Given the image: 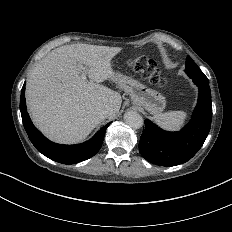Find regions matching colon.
<instances>
[{
	"mask_svg": "<svg viewBox=\"0 0 232 232\" xmlns=\"http://www.w3.org/2000/svg\"><path fill=\"white\" fill-rule=\"evenodd\" d=\"M132 70H137V73H147L144 74V79H150L152 86H166V81H161L158 74L162 69L156 68V65H147L145 56H138V61H133Z\"/></svg>",
	"mask_w": 232,
	"mask_h": 232,
	"instance_id": "5ec220e1",
	"label": "colon"
}]
</instances>
